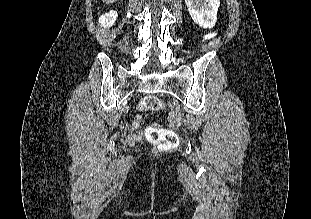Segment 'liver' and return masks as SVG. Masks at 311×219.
I'll return each instance as SVG.
<instances>
[{"mask_svg": "<svg viewBox=\"0 0 311 219\" xmlns=\"http://www.w3.org/2000/svg\"><path fill=\"white\" fill-rule=\"evenodd\" d=\"M106 4H109V3H113L115 2L116 0H103Z\"/></svg>", "mask_w": 311, "mask_h": 219, "instance_id": "6515ba94", "label": "liver"}]
</instances>
